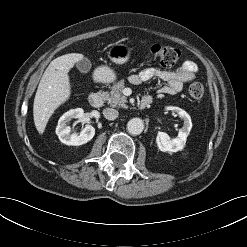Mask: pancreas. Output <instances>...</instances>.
<instances>
[{
  "label": "pancreas",
  "mask_w": 247,
  "mask_h": 247,
  "mask_svg": "<svg viewBox=\"0 0 247 247\" xmlns=\"http://www.w3.org/2000/svg\"><path fill=\"white\" fill-rule=\"evenodd\" d=\"M124 81H119L115 85L112 86V90L110 93L104 92L103 96L108 101V104L112 107L125 108L127 98L122 94V90L124 89Z\"/></svg>",
  "instance_id": "pancreas-1"
}]
</instances>
